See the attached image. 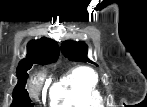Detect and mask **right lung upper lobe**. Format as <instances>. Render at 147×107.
<instances>
[{"label":"right lung upper lobe","instance_id":"1","mask_svg":"<svg viewBox=\"0 0 147 107\" xmlns=\"http://www.w3.org/2000/svg\"><path fill=\"white\" fill-rule=\"evenodd\" d=\"M59 56L58 44L49 38L32 40L27 45L26 58L20 61L17 74L26 67L33 64H48L57 60Z\"/></svg>","mask_w":147,"mask_h":107}]
</instances>
